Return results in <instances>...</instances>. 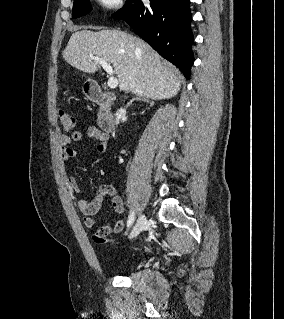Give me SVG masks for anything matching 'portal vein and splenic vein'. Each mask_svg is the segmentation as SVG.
<instances>
[{
	"instance_id": "1",
	"label": "portal vein and splenic vein",
	"mask_w": 284,
	"mask_h": 319,
	"mask_svg": "<svg viewBox=\"0 0 284 319\" xmlns=\"http://www.w3.org/2000/svg\"><path fill=\"white\" fill-rule=\"evenodd\" d=\"M92 59L99 65L103 67V69L109 74V79H108V87L111 89H114L118 86V79L117 77L114 76V71L111 65L105 61L104 59H101L99 57H92Z\"/></svg>"
}]
</instances>
